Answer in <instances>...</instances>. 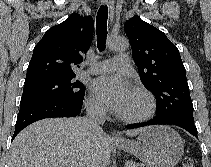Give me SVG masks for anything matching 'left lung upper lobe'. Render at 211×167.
Segmentation results:
<instances>
[{"mask_svg":"<svg viewBox=\"0 0 211 167\" xmlns=\"http://www.w3.org/2000/svg\"><path fill=\"white\" fill-rule=\"evenodd\" d=\"M124 29L142 83L156 95L155 118L194 122L185 67L177 47L162 31L138 16L126 21Z\"/></svg>","mask_w":211,"mask_h":167,"instance_id":"1","label":"left lung upper lobe"}]
</instances>
